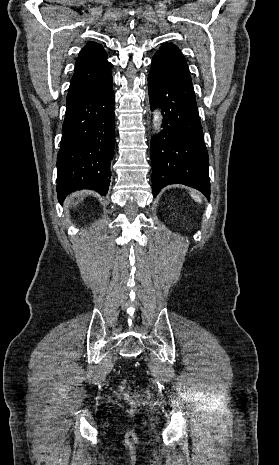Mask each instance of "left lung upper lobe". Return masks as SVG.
Masks as SVG:
<instances>
[{"label": "left lung upper lobe", "mask_w": 279, "mask_h": 465, "mask_svg": "<svg viewBox=\"0 0 279 465\" xmlns=\"http://www.w3.org/2000/svg\"><path fill=\"white\" fill-rule=\"evenodd\" d=\"M156 54L175 57V58L181 59L182 61L186 62L182 55V52L175 45L171 43L163 44L160 47V49L156 52Z\"/></svg>", "instance_id": "1"}]
</instances>
